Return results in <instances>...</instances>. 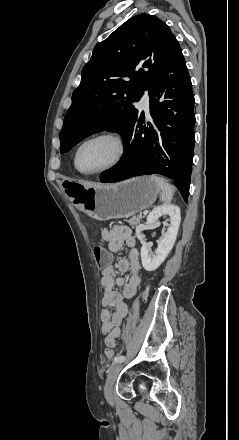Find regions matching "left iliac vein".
Segmentation results:
<instances>
[{
  "label": "left iliac vein",
  "mask_w": 239,
  "mask_h": 440,
  "mask_svg": "<svg viewBox=\"0 0 239 440\" xmlns=\"http://www.w3.org/2000/svg\"><path fill=\"white\" fill-rule=\"evenodd\" d=\"M121 369H122V365L119 363H115L110 367V370L108 372L104 387V394L109 404H113L114 402L113 388Z\"/></svg>",
  "instance_id": "1"
}]
</instances>
